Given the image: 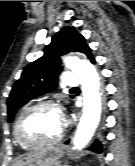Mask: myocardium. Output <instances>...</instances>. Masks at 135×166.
Returning a JSON list of instances; mask_svg holds the SVG:
<instances>
[{
	"instance_id": "obj_1",
	"label": "myocardium",
	"mask_w": 135,
	"mask_h": 166,
	"mask_svg": "<svg viewBox=\"0 0 135 166\" xmlns=\"http://www.w3.org/2000/svg\"><path fill=\"white\" fill-rule=\"evenodd\" d=\"M43 108H52L62 114V106L59 103L54 102V101L39 102V103H36V104L24 109L18 116V118L14 124V128H13L14 138L21 146L26 147V148H39V147H45V146H53V145L58 144L63 139L64 134H65L64 128L62 129V131L56 138H54L52 140H47V141H29V140L24 139L21 136L19 130H20V125H21L22 120L29 113L39 110V109H43Z\"/></svg>"
}]
</instances>
